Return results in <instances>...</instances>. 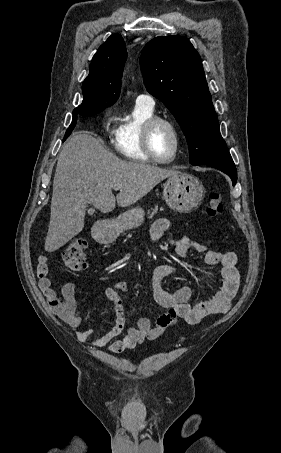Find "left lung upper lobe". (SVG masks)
<instances>
[{
	"mask_svg": "<svg viewBox=\"0 0 281 453\" xmlns=\"http://www.w3.org/2000/svg\"><path fill=\"white\" fill-rule=\"evenodd\" d=\"M144 84L178 121L188 143L190 163H232L221 137L201 58L182 36H159L141 53Z\"/></svg>",
	"mask_w": 281,
	"mask_h": 453,
	"instance_id": "left-lung-upper-lobe-1",
	"label": "left lung upper lobe"
}]
</instances>
